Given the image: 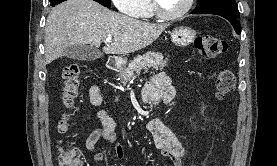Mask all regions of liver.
<instances>
[{
    "instance_id": "liver-1",
    "label": "liver",
    "mask_w": 277,
    "mask_h": 166,
    "mask_svg": "<svg viewBox=\"0 0 277 166\" xmlns=\"http://www.w3.org/2000/svg\"><path fill=\"white\" fill-rule=\"evenodd\" d=\"M167 27L122 15L94 0H67L48 15L45 63L66 55L69 46L99 47L107 37L113 41L103 47L106 54L127 55L152 44Z\"/></svg>"
}]
</instances>
